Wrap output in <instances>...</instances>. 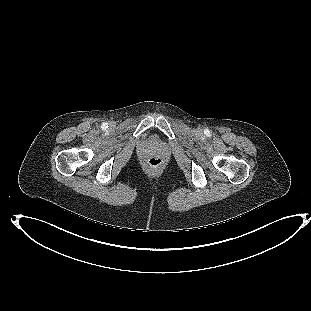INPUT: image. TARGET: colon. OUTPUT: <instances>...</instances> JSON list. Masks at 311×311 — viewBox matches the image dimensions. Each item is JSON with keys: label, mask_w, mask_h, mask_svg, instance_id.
I'll use <instances>...</instances> for the list:
<instances>
[{"label": "colon", "mask_w": 311, "mask_h": 311, "mask_svg": "<svg viewBox=\"0 0 311 311\" xmlns=\"http://www.w3.org/2000/svg\"><path fill=\"white\" fill-rule=\"evenodd\" d=\"M147 164L151 170H158L163 167L164 161L161 158L152 157L148 160Z\"/></svg>", "instance_id": "colon-1"}]
</instances>
